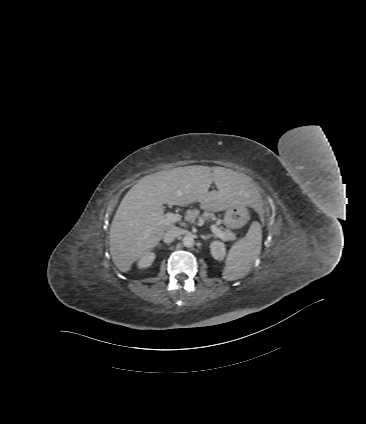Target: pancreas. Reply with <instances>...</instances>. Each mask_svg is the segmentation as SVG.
<instances>
[{
  "label": "pancreas",
  "mask_w": 366,
  "mask_h": 424,
  "mask_svg": "<svg viewBox=\"0 0 366 424\" xmlns=\"http://www.w3.org/2000/svg\"><path fill=\"white\" fill-rule=\"evenodd\" d=\"M196 216H197L196 210H194L193 212L190 213L191 219H195ZM213 217L214 216L211 213H208V212H205L203 214V218L206 219V220L209 219V218H213ZM223 233L225 234V239H227V240H234L236 238L235 234L232 233L230 230H224Z\"/></svg>",
  "instance_id": "pancreas-1"
}]
</instances>
